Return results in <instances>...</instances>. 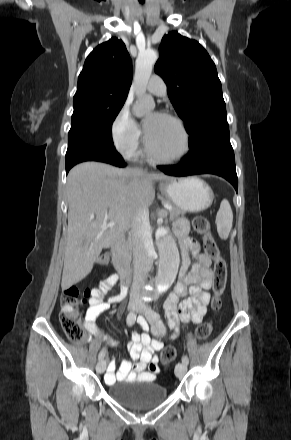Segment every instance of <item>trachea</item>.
<instances>
[{
  "mask_svg": "<svg viewBox=\"0 0 291 440\" xmlns=\"http://www.w3.org/2000/svg\"><path fill=\"white\" fill-rule=\"evenodd\" d=\"M139 2H140V3H144V2H145V0H139Z\"/></svg>",
  "mask_w": 291,
  "mask_h": 440,
  "instance_id": "3493384b",
  "label": "trachea"
}]
</instances>
